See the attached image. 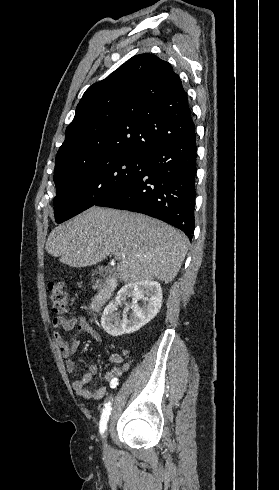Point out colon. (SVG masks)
Wrapping results in <instances>:
<instances>
[{"mask_svg":"<svg viewBox=\"0 0 279 490\" xmlns=\"http://www.w3.org/2000/svg\"><path fill=\"white\" fill-rule=\"evenodd\" d=\"M49 300L55 313L58 315H65L67 313V292L63 283L51 282L49 284Z\"/></svg>","mask_w":279,"mask_h":490,"instance_id":"colon-1","label":"colon"}]
</instances>
